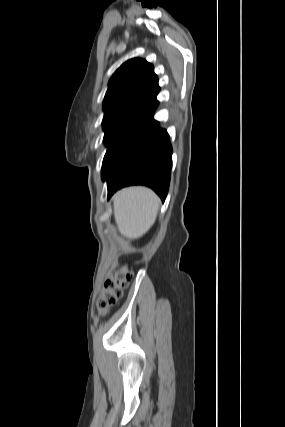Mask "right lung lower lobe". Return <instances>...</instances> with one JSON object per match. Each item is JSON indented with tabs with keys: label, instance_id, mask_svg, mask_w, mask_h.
I'll use <instances>...</instances> for the list:
<instances>
[{
	"label": "right lung lower lobe",
	"instance_id": "obj_1",
	"mask_svg": "<svg viewBox=\"0 0 285 427\" xmlns=\"http://www.w3.org/2000/svg\"><path fill=\"white\" fill-rule=\"evenodd\" d=\"M158 103L144 116L119 150L114 162L102 174L107 181L108 199L128 185H146L165 200L172 167V147L166 130L159 128L153 113Z\"/></svg>",
	"mask_w": 285,
	"mask_h": 427
}]
</instances>
